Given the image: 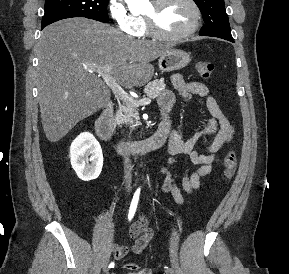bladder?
Instances as JSON below:
<instances>
[{
  "instance_id": "bladder-1",
  "label": "bladder",
  "mask_w": 289,
  "mask_h": 274,
  "mask_svg": "<svg viewBox=\"0 0 289 274\" xmlns=\"http://www.w3.org/2000/svg\"><path fill=\"white\" fill-rule=\"evenodd\" d=\"M127 274H142V273H127Z\"/></svg>"
}]
</instances>
